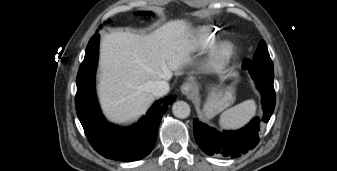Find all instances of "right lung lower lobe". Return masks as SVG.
Returning a JSON list of instances; mask_svg holds the SVG:
<instances>
[{
	"label": "right lung lower lobe",
	"mask_w": 337,
	"mask_h": 171,
	"mask_svg": "<svg viewBox=\"0 0 337 171\" xmlns=\"http://www.w3.org/2000/svg\"><path fill=\"white\" fill-rule=\"evenodd\" d=\"M99 34L89 41L80 65L76 84V111L92 147L102 156L131 162L147 156L155 146L160 120L175 100L174 96L156 102L146 116L128 128H118L103 117L94 89L98 60Z\"/></svg>",
	"instance_id": "obj_1"
}]
</instances>
